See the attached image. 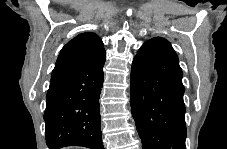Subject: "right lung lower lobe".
Instances as JSON below:
<instances>
[{
    "label": "right lung lower lobe",
    "instance_id": "1",
    "mask_svg": "<svg viewBox=\"0 0 227 149\" xmlns=\"http://www.w3.org/2000/svg\"><path fill=\"white\" fill-rule=\"evenodd\" d=\"M105 59L51 78L44 113L49 149L84 146L103 149L99 97Z\"/></svg>",
    "mask_w": 227,
    "mask_h": 149
}]
</instances>
